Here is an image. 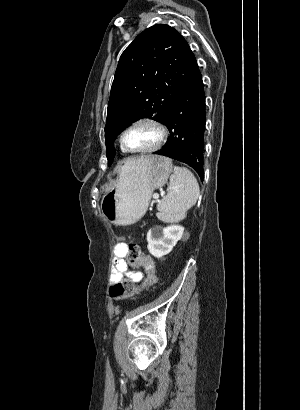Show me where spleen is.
Here are the masks:
<instances>
[{
    "instance_id": "spleen-1",
    "label": "spleen",
    "mask_w": 300,
    "mask_h": 410,
    "mask_svg": "<svg viewBox=\"0 0 300 410\" xmlns=\"http://www.w3.org/2000/svg\"><path fill=\"white\" fill-rule=\"evenodd\" d=\"M168 194L157 205V218L163 222H180L199 197L198 182L193 173L182 166H174Z\"/></svg>"
}]
</instances>
